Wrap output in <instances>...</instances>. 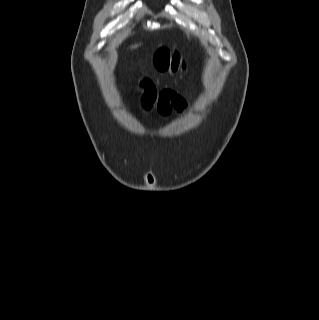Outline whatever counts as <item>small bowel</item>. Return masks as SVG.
<instances>
[{"label":"small bowel","instance_id":"c3829d8e","mask_svg":"<svg viewBox=\"0 0 319 320\" xmlns=\"http://www.w3.org/2000/svg\"><path fill=\"white\" fill-rule=\"evenodd\" d=\"M142 88V103L146 111H151L156 107L161 115L167 116L172 110L178 113L185 110L186 103L181 96L171 90H163L158 93L150 79H143Z\"/></svg>","mask_w":319,"mask_h":320}]
</instances>
